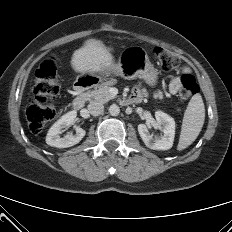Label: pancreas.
Instances as JSON below:
<instances>
[{
    "mask_svg": "<svg viewBox=\"0 0 232 232\" xmlns=\"http://www.w3.org/2000/svg\"><path fill=\"white\" fill-rule=\"evenodd\" d=\"M116 83L115 80H111L103 84L102 86L92 90L87 94V98L90 102H99V103H106L109 100L115 98L113 94L110 93V86Z\"/></svg>",
    "mask_w": 232,
    "mask_h": 232,
    "instance_id": "cf45deb5",
    "label": "pancreas"
}]
</instances>
